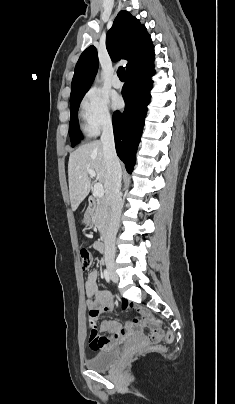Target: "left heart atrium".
Returning <instances> with one entry per match:
<instances>
[{"instance_id":"obj_1","label":"left heart atrium","mask_w":235,"mask_h":404,"mask_svg":"<svg viewBox=\"0 0 235 404\" xmlns=\"http://www.w3.org/2000/svg\"><path fill=\"white\" fill-rule=\"evenodd\" d=\"M112 106L114 109H119L122 106V100L119 97H114L112 99Z\"/></svg>"}]
</instances>
